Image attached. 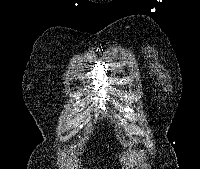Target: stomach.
<instances>
[{
    "mask_svg": "<svg viewBox=\"0 0 200 169\" xmlns=\"http://www.w3.org/2000/svg\"><path fill=\"white\" fill-rule=\"evenodd\" d=\"M123 169H130V168H129V166H126V167H125V168H123Z\"/></svg>",
    "mask_w": 200,
    "mask_h": 169,
    "instance_id": "obj_1",
    "label": "stomach"
}]
</instances>
